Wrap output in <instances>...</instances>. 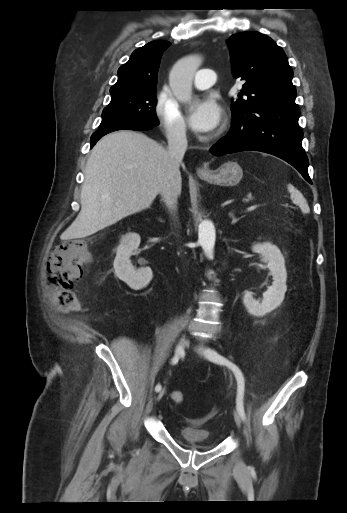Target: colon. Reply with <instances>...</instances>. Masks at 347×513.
Here are the masks:
<instances>
[{"label":"colon","mask_w":347,"mask_h":513,"mask_svg":"<svg viewBox=\"0 0 347 513\" xmlns=\"http://www.w3.org/2000/svg\"><path fill=\"white\" fill-rule=\"evenodd\" d=\"M91 259V252L82 239L64 242L55 249L49 259V274L59 307L74 309L78 306V299L73 290L74 283L81 277L84 266L88 265ZM170 397L178 405L185 401V396L180 390H173Z\"/></svg>","instance_id":"obj_1"}]
</instances>
